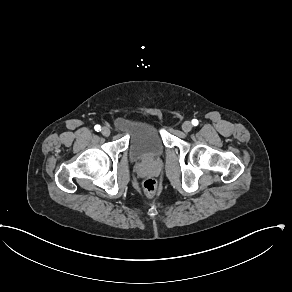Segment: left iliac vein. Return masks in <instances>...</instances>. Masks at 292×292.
<instances>
[{"mask_svg": "<svg viewBox=\"0 0 292 292\" xmlns=\"http://www.w3.org/2000/svg\"><path fill=\"white\" fill-rule=\"evenodd\" d=\"M192 123L190 121H185L183 124H182V130L184 132H190L192 130Z\"/></svg>", "mask_w": 292, "mask_h": 292, "instance_id": "obj_1", "label": "left iliac vein"}]
</instances>
